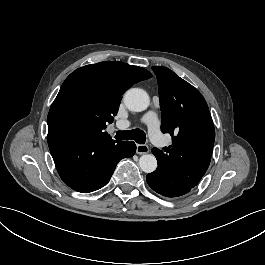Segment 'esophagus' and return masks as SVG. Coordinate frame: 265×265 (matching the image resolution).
Here are the masks:
<instances>
[{"label":"esophagus","mask_w":265,"mask_h":265,"mask_svg":"<svg viewBox=\"0 0 265 265\" xmlns=\"http://www.w3.org/2000/svg\"><path fill=\"white\" fill-rule=\"evenodd\" d=\"M149 152V147L146 144H137L136 153L137 154H146Z\"/></svg>","instance_id":"obj_1"}]
</instances>
